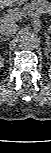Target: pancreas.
Instances as JSON below:
<instances>
[{
    "mask_svg": "<svg viewBox=\"0 0 51 153\" xmlns=\"http://www.w3.org/2000/svg\"><path fill=\"white\" fill-rule=\"evenodd\" d=\"M31 11L49 13L51 11V3L48 0H32L30 3L24 5L21 12L27 15Z\"/></svg>",
    "mask_w": 51,
    "mask_h": 153,
    "instance_id": "obj_1",
    "label": "pancreas"
}]
</instances>
